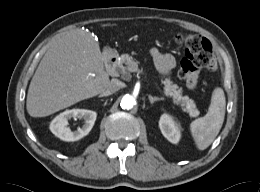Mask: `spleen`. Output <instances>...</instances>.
<instances>
[{
    "label": "spleen",
    "mask_w": 260,
    "mask_h": 192,
    "mask_svg": "<svg viewBox=\"0 0 260 192\" xmlns=\"http://www.w3.org/2000/svg\"><path fill=\"white\" fill-rule=\"evenodd\" d=\"M226 99L222 88L217 87L212 92L211 104L204 117L190 124V131L199 150L211 145L218 135L225 117Z\"/></svg>",
    "instance_id": "spleen-1"
}]
</instances>
